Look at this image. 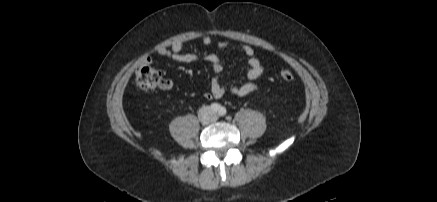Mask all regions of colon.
Listing matches in <instances>:
<instances>
[{"instance_id":"obj_1","label":"colon","mask_w":437,"mask_h":202,"mask_svg":"<svg viewBox=\"0 0 437 202\" xmlns=\"http://www.w3.org/2000/svg\"><path fill=\"white\" fill-rule=\"evenodd\" d=\"M280 77L286 82H290L294 79L292 72L283 70L280 72ZM164 78L160 70L153 67L149 63H142L138 66L135 73V84L141 90H154L163 85Z\"/></svg>"}]
</instances>
